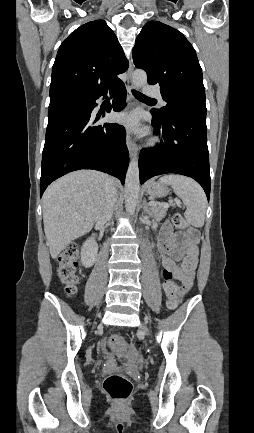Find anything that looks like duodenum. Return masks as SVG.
Listing matches in <instances>:
<instances>
[{"label":"duodenum","instance_id":"410a0bca","mask_svg":"<svg viewBox=\"0 0 254 433\" xmlns=\"http://www.w3.org/2000/svg\"><path fill=\"white\" fill-rule=\"evenodd\" d=\"M93 238L95 239V238H96V235H93Z\"/></svg>","mask_w":254,"mask_h":433}]
</instances>
